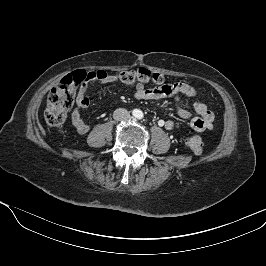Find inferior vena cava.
<instances>
[{"mask_svg": "<svg viewBox=\"0 0 266 266\" xmlns=\"http://www.w3.org/2000/svg\"><path fill=\"white\" fill-rule=\"evenodd\" d=\"M113 118L116 121H125L130 119V113L124 108H118L114 111Z\"/></svg>", "mask_w": 266, "mask_h": 266, "instance_id": "obj_1", "label": "inferior vena cava"}]
</instances>
